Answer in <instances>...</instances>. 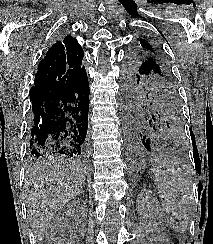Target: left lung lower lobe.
I'll return each mask as SVG.
<instances>
[{
	"mask_svg": "<svg viewBox=\"0 0 213 244\" xmlns=\"http://www.w3.org/2000/svg\"><path fill=\"white\" fill-rule=\"evenodd\" d=\"M122 116L126 146L132 156L145 155L163 141L164 138L157 128L131 108L123 106Z\"/></svg>",
	"mask_w": 213,
	"mask_h": 244,
	"instance_id": "obj_1",
	"label": "left lung lower lobe"
}]
</instances>
